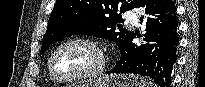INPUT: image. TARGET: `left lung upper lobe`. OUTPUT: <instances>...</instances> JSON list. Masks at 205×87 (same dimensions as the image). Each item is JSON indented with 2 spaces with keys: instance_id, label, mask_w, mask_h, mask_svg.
<instances>
[{
  "instance_id": "left-lung-upper-lobe-1",
  "label": "left lung upper lobe",
  "mask_w": 205,
  "mask_h": 87,
  "mask_svg": "<svg viewBox=\"0 0 205 87\" xmlns=\"http://www.w3.org/2000/svg\"><path fill=\"white\" fill-rule=\"evenodd\" d=\"M139 0H57L43 37L44 53L50 45L70 35H93L114 41L120 52L133 32L122 27L121 14L136 7Z\"/></svg>"
}]
</instances>
